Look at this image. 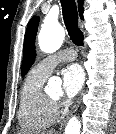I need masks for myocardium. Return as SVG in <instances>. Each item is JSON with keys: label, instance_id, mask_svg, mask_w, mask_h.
<instances>
[{"label": "myocardium", "instance_id": "obj_1", "mask_svg": "<svg viewBox=\"0 0 116 134\" xmlns=\"http://www.w3.org/2000/svg\"><path fill=\"white\" fill-rule=\"evenodd\" d=\"M49 100L52 102V103H55L56 102V99L51 97V96H48Z\"/></svg>", "mask_w": 116, "mask_h": 134}]
</instances>
